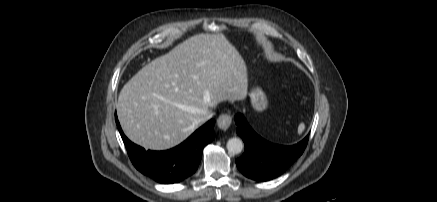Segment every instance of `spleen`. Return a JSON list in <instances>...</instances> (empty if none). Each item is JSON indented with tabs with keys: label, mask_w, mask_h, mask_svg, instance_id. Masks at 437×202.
<instances>
[{
	"label": "spleen",
	"mask_w": 437,
	"mask_h": 202,
	"mask_svg": "<svg viewBox=\"0 0 437 202\" xmlns=\"http://www.w3.org/2000/svg\"><path fill=\"white\" fill-rule=\"evenodd\" d=\"M304 129H305V125H304V123H301L298 126V133L301 134L304 131Z\"/></svg>",
	"instance_id": "spleen-1"
}]
</instances>
